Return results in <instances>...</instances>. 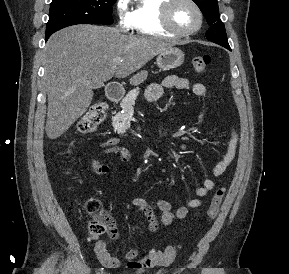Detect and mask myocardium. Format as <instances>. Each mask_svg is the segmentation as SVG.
I'll use <instances>...</instances> for the list:
<instances>
[{
	"instance_id": "1",
	"label": "myocardium",
	"mask_w": 289,
	"mask_h": 274,
	"mask_svg": "<svg viewBox=\"0 0 289 274\" xmlns=\"http://www.w3.org/2000/svg\"><path fill=\"white\" fill-rule=\"evenodd\" d=\"M179 0H165L164 4L161 8V14H160V20L163 28L168 31L169 33L173 34L174 36L178 37H189L194 34H196L202 27L204 22V14L199 6V4L195 0H185L188 3H190L193 8L195 9L197 15H198V24L196 27L190 29V30H180L176 28L172 22L171 19V13L173 6L178 2Z\"/></svg>"
}]
</instances>
